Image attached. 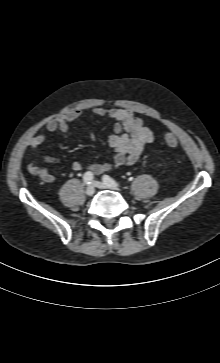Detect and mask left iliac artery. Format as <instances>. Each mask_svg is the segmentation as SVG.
I'll use <instances>...</instances> for the list:
<instances>
[{"label":"left iliac artery","instance_id":"1","mask_svg":"<svg viewBox=\"0 0 220 363\" xmlns=\"http://www.w3.org/2000/svg\"><path fill=\"white\" fill-rule=\"evenodd\" d=\"M103 182L109 186H119V183L116 182L114 179H112L110 176L108 175H104L102 178Z\"/></svg>","mask_w":220,"mask_h":363}]
</instances>
